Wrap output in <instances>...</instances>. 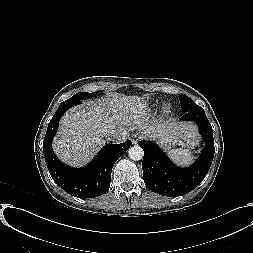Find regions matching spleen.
<instances>
[{
    "label": "spleen",
    "instance_id": "1",
    "mask_svg": "<svg viewBox=\"0 0 253 253\" xmlns=\"http://www.w3.org/2000/svg\"><path fill=\"white\" fill-rule=\"evenodd\" d=\"M170 158L178 165H189L193 162L194 156L189 149H173L169 152Z\"/></svg>",
    "mask_w": 253,
    "mask_h": 253
}]
</instances>
